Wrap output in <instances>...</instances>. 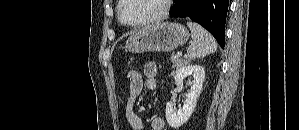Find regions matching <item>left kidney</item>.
I'll list each match as a JSON object with an SVG mask.
<instances>
[{
    "instance_id": "1",
    "label": "left kidney",
    "mask_w": 299,
    "mask_h": 130,
    "mask_svg": "<svg viewBox=\"0 0 299 130\" xmlns=\"http://www.w3.org/2000/svg\"><path fill=\"white\" fill-rule=\"evenodd\" d=\"M186 77H192L193 83L190 90L187 93V98L183 104V107L178 110L172 102H168L166 105L165 116L167 123L172 128H179L190 118L195 110L197 98L202 89V85L205 78V71L202 66L199 65H183L177 71L175 75V84L182 85L183 80Z\"/></svg>"
}]
</instances>
